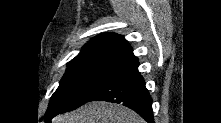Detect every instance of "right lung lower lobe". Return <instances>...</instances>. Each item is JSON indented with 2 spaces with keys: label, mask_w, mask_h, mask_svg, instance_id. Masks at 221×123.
<instances>
[{
  "label": "right lung lower lobe",
  "mask_w": 221,
  "mask_h": 123,
  "mask_svg": "<svg viewBox=\"0 0 221 123\" xmlns=\"http://www.w3.org/2000/svg\"><path fill=\"white\" fill-rule=\"evenodd\" d=\"M138 65V59L131 58L94 89L88 102L99 100L121 103L152 123L154 120L152 99L145 87L144 79L138 72ZM56 115L57 113H46L45 120H50Z\"/></svg>",
  "instance_id": "obj_1"
}]
</instances>
